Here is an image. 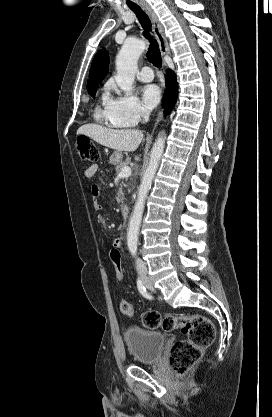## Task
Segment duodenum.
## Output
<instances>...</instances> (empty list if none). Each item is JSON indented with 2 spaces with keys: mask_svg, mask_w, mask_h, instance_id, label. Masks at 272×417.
Instances as JSON below:
<instances>
[{
  "mask_svg": "<svg viewBox=\"0 0 272 417\" xmlns=\"http://www.w3.org/2000/svg\"><path fill=\"white\" fill-rule=\"evenodd\" d=\"M121 213L124 217H127L129 214V206L127 204H123L121 206Z\"/></svg>",
  "mask_w": 272,
  "mask_h": 417,
  "instance_id": "1",
  "label": "duodenum"
}]
</instances>
